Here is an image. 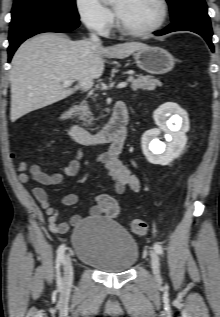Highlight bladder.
<instances>
[{
	"instance_id": "31cf9c89",
	"label": "bladder",
	"mask_w": 220,
	"mask_h": 317,
	"mask_svg": "<svg viewBox=\"0 0 220 317\" xmlns=\"http://www.w3.org/2000/svg\"><path fill=\"white\" fill-rule=\"evenodd\" d=\"M78 261L108 273H122L136 264V239L118 222L92 216L79 222L71 235Z\"/></svg>"
}]
</instances>
